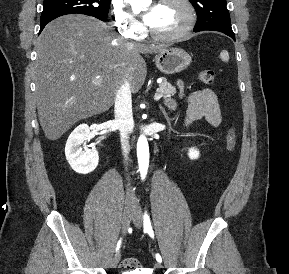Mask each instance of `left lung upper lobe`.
<instances>
[{
	"label": "left lung upper lobe",
	"mask_w": 289,
	"mask_h": 274,
	"mask_svg": "<svg viewBox=\"0 0 289 274\" xmlns=\"http://www.w3.org/2000/svg\"><path fill=\"white\" fill-rule=\"evenodd\" d=\"M196 12L194 31H232L226 0H189Z\"/></svg>",
	"instance_id": "obj_1"
}]
</instances>
